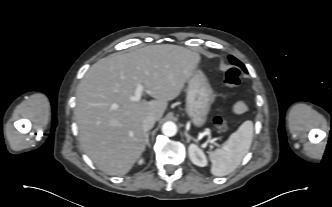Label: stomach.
I'll return each mask as SVG.
<instances>
[{"mask_svg":"<svg viewBox=\"0 0 332 207\" xmlns=\"http://www.w3.org/2000/svg\"><path fill=\"white\" fill-rule=\"evenodd\" d=\"M214 93L205 74L196 70L188 80L186 113L195 127H201L207 120Z\"/></svg>","mask_w":332,"mask_h":207,"instance_id":"0dacf381","label":"stomach"}]
</instances>
